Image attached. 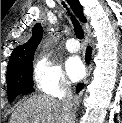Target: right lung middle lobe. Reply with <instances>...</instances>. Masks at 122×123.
Listing matches in <instances>:
<instances>
[{"label":"right lung middle lobe","mask_w":122,"mask_h":123,"mask_svg":"<svg viewBox=\"0 0 122 123\" xmlns=\"http://www.w3.org/2000/svg\"><path fill=\"white\" fill-rule=\"evenodd\" d=\"M33 58L7 71L8 100H13L21 93L34 92L33 88Z\"/></svg>","instance_id":"dd1d6c3e"}]
</instances>
